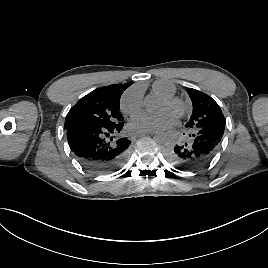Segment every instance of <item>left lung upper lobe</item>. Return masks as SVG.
Wrapping results in <instances>:
<instances>
[{
  "instance_id": "1",
  "label": "left lung upper lobe",
  "mask_w": 268,
  "mask_h": 268,
  "mask_svg": "<svg viewBox=\"0 0 268 268\" xmlns=\"http://www.w3.org/2000/svg\"><path fill=\"white\" fill-rule=\"evenodd\" d=\"M188 95L193 104V112L190 120L185 125L190 131L225 125L226 120L220 106L213 98L196 89H188Z\"/></svg>"
}]
</instances>
